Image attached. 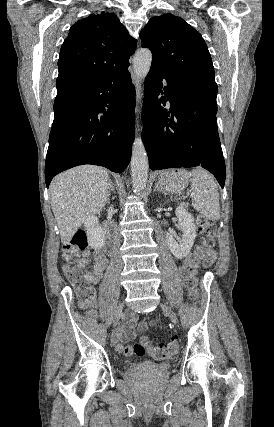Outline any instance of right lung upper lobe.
<instances>
[{
    "instance_id": "cb5924a9",
    "label": "right lung upper lobe",
    "mask_w": 274,
    "mask_h": 427,
    "mask_svg": "<svg viewBox=\"0 0 274 427\" xmlns=\"http://www.w3.org/2000/svg\"><path fill=\"white\" fill-rule=\"evenodd\" d=\"M136 46L113 13H93L77 21L61 47L55 101L83 93L126 71Z\"/></svg>"
}]
</instances>
